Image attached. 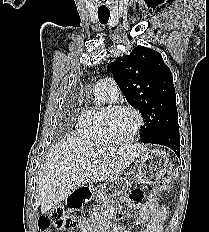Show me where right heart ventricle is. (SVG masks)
Here are the masks:
<instances>
[{
	"mask_svg": "<svg viewBox=\"0 0 209 232\" xmlns=\"http://www.w3.org/2000/svg\"><path fill=\"white\" fill-rule=\"evenodd\" d=\"M95 104L84 109L79 115L76 123L78 135L94 143H103L108 141L103 130L104 109L100 104L111 103L104 93L94 92Z\"/></svg>",
	"mask_w": 209,
	"mask_h": 232,
	"instance_id": "e07e8e85",
	"label": "right heart ventricle"
}]
</instances>
